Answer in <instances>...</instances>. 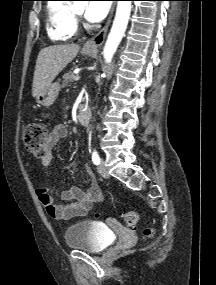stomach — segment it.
Segmentation results:
<instances>
[{
    "mask_svg": "<svg viewBox=\"0 0 216 285\" xmlns=\"http://www.w3.org/2000/svg\"><path fill=\"white\" fill-rule=\"evenodd\" d=\"M96 52V50H83L82 53L91 56ZM60 91V85L58 83H51L46 89H44L40 94L36 96V101L38 104L49 107L57 99Z\"/></svg>",
    "mask_w": 216,
    "mask_h": 285,
    "instance_id": "0dacf381",
    "label": "stomach"
}]
</instances>
